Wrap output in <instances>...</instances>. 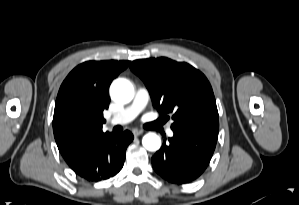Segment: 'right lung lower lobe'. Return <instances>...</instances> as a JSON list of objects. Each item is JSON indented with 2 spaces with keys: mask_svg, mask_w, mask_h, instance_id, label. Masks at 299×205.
I'll list each match as a JSON object with an SVG mask.
<instances>
[{
  "mask_svg": "<svg viewBox=\"0 0 299 205\" xmlns=\"http://www.w3.org/2000/svg\"><path fill=\"white\" fill-rule=\"evenodd\" d=\"M132 140L129 131L120 136L109 134L85 148L69 166L88 181L108 179L122 169L126 149Z\"/></svg>",
  "mask_w": 299,
  "mask_h": 205,
  "instance_id": "obj_1",
  "label": "right lung lower lobe"
}]
</instances>
